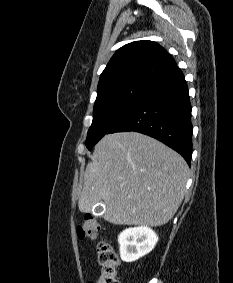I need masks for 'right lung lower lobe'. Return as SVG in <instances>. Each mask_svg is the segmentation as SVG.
<instances>
[{
	"mask_svg": "<svg viewBox=\"0 0 233 283\" xmlns=\"http://www.w3.org/2000/svg\"><path fill=\"white\" fill-rule=\"evenodd\" d=\"M135 131L156 138L191 164L192 124L187 83L176 66L150 81L109 133Z\"/></svg>",
	"mask_w": 233,
	"mask_h": 283,
	"instance_id": "98d812e1",
	"label": "right lung lower lobe"
}]
</instances>
